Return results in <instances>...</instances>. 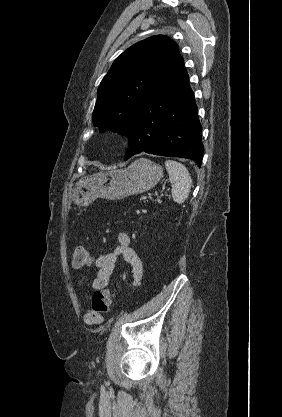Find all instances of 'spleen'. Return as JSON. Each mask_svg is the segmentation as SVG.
Segmentation results:
<instances>
[{"label":"spleen","mask_w":282,"mask_h":417,"mask_svg":"<svg viewBox=\"0 0 282 417\" xmlns=\"http://www.w3.org/2000/svg\"><path fill=\"white\" fill-rule=\"evenodd\" d=\"M165 166L168 170L169 180L172 182L171 192L173 200L181 204L188 198L192 186L190 172L184 164L177 162V160H165Z\"/></svg>","instance_id":"1"}]
</instances>
